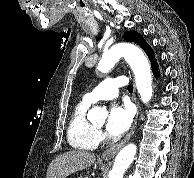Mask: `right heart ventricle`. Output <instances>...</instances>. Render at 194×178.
<instances>
[{"mask_svg": "<svg viewBox=\"0 0 194 178\" xmlns=\"http://www.w3.org/2000/svg\"><path fill=\"white\" fill-rule=\"evenodd\" d=\"M88 107L89 103L79 102L75 106L68 124L67 140L75 149L94 150L100 142L98 131L86 118Z\"/></svg>", "mask_w": 194, "mask_h": 178, "instance_id": "1", "label": "right heart ventricle"}]
</instances>
